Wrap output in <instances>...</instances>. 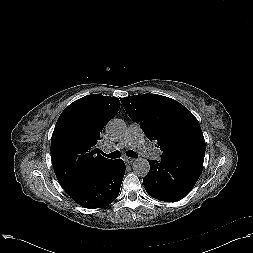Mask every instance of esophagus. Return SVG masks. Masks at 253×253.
<instances>
[{
    "mask_svg": "<svg viewBox=\"0 0 253 253\" xmlns=\"http://www.w3.org/2000/svg\"><path fill=\"white\" fill-rule=\"evenodd\" d=\"M134 161H135L134 158H126V159H125V162H126L127 164H131V163H133Z\"/></svg>",
    "mask_w": 253,
    "mask_h": 253,
    "instance_id": "obj_1",
    "label": "esophagus"
}]
</instances>
